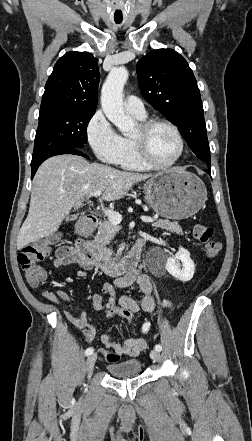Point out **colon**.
Here are the masks:
<instances>
[{
	"label": "colon",
	"instance_id": "1",
	"mask_svg": "<svg viewBox=\"0 0 252 441\" xmlns=\"http://www.w3.org/2000/svg\"><path fill=\"white\" fill-rule=\"evenodd\" d=\"M192 235L205 245V253L208 258H214L219 254L221 243L212 238V228L202 224H194ZM57 242L58 236H50L28 244L18 254V263L30 286L36 287L46 279L47 273L39 263L50 255L52 246ZM138 312L139 308L134 303L111 305L104 310L106 318H121L128 322H133ZM104 357L109 363H115L120 358L115 352L108 351L104 352Z\"/></svg>",
	"mask_w": 252,
	"mask_h": 441
}]
</instances>
